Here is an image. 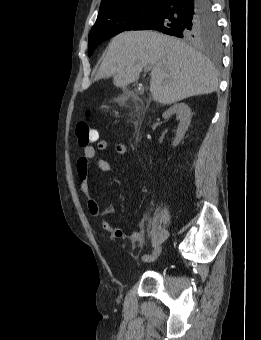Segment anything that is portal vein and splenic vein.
<instances>
[{"label":"portal vein and splenic vein","mask_w":261,"mask_h":340,"mask_svg":"<svg viewBox=\"0 0 261 340\" xmlns=\"http://www.w3.org/2000/svg\"><path fill=\"white\" fill-rule=\"evenodd\" d=\"M146 69H147V70H150L151 68L148 66Z\"/></svg>","instance_id":"1"}]
</instances>
